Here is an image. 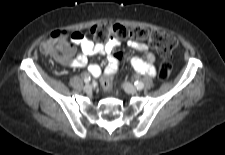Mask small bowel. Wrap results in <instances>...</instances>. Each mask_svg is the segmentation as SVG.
I'll list each match as a JSON object with an SVG mask.
<instances>
[{
    "mask_svg": "<svg viewBox=\"0 0 225 155\" xmlns=\"http://www.w3.org/2000/svg\"><path fill=\"white\" fill-rule=\"evenodd\" d=\"M71 41L75 45H79L80 51L77 56L68 62L69 66L75 68L87 67L88 72L98 77L101 75V69L97 64H88V57L91 55H107L108 61L113 56V50L118 45V42L114 39H110L104 43L93 42L87 39V34L83 30H75L71 34ZM128 44L139 52L145 53V57H134L130 60L132 67L139 73L154 76L156 73L154 62L155 55L148 52V46L145 43L130 40ZM105 75H118L120 68L114 63H109L104 70Z\"/></svg>",
    "mask_w": 225,
    "mask_h": 155,
    "instance_id": "1",
    "label": "small bowel"
}]
</instances>
